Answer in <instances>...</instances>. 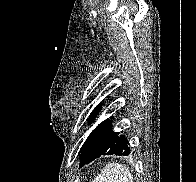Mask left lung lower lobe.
<instances>
[{
    "label": "left lung lower lobe",
    "mask_w": 196,
    "mask_h": 182,
    "mask_svg": "<svg viewBox=\"0 0 196 182\" xmlns=\"http://www.w3.org/2000/svg\"><path fill=\"white\" fill-rule=\"evenodd\" d=\"M127 138L112 132L100 145L87 154L81 155V165L88 164L101 155L128 156L130 147Z\"/></svg>",
    "instance_id": "1"
}]
</instances>
